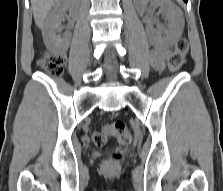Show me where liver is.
I'll use <instances>...</instances> for the list:
<instances>
[{"label":"liver","mask_w":223,"mask_h":191,"mask_svg":"<svg viewBox=\"0 0 223 191\" xmlns=\"http://www.w3.org/2000/svg\"><path fill=\"white\" fill-rule=\"evenodd\" d=\"M59 1L60 0H31L34 20L39 28L44 27L49 11Z\"/></svg>","instance_id":"liver-1"}]
</instances>
